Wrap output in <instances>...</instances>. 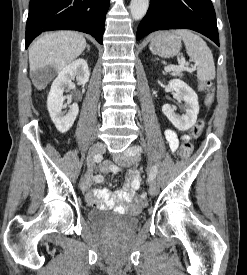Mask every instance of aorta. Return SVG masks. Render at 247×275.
<instances>
[{"label": "aorta", "mask_w": 247, "mask_h": 275, "mask_svg": "<svg viewBox=\"0 0 247 275\" xmlns=\"http://www.w3.org/2000/svg\"><path fill=\"white\" fill-rule=\"evenodd\" d=\"M150 0H131L130 3V12L135 20H141L149 7Z\"/></svg>", "instance_id": "obj_1"}]
</instances>
